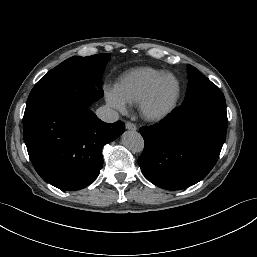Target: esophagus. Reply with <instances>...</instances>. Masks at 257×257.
Listing matches in <instances>:
<instances>
[{
  "mask_svg": "<svg viewBox=\"0 0 257 257\" xmlns=\"http://www.w3.org/2000/svg\"><path fill=\"white\" fill-rule=\"evenodd\" d=\"M126 129L127 130H133V131H135L136 129H137V127H136V125L134 124V123H132V122H126Z\"/></svg>",
  "mask_w": 257,
  "mask_h": 257,
  "instance_id": "1",
  "label": "esophagus"
}]
</instances>
